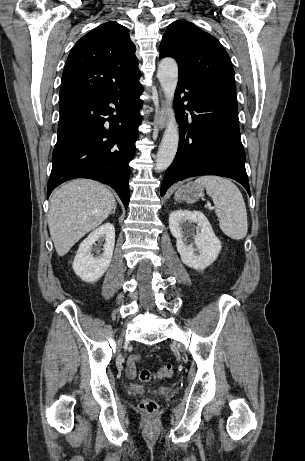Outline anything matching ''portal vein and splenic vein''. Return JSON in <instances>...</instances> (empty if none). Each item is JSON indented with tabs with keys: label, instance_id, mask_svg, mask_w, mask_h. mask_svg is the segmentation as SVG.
I'll use <instances>...</instances> for the list:
<instances>
[{
	"label": "portal vein and splenic vein",
	"instance_id": "1",
	"mask_svg": "<svg viewBox=\"0 0 305 461\" xmlns=\"http://www.w3.org/2000/svg\"><path fill=\"white\" fill-rule=\"evenodd\" d=\"M208 207H209L210 209H213V207H211L209 203H208Z\"/></svg>",
	"mask_w": 305,
	"mask_h": 461
}]
</instances>
